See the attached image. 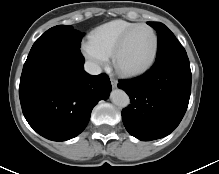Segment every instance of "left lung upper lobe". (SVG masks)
<instances>
[{"label": "left lung upper lobe", "mask_w": 219, "mask_h": 174, "mask_svg": "<svg viewBox=\"0 0 219 174\" xmlns=\"http://www.w3.org/2000/svg\"><path fill=\"white\" fill-rule=\"evenodd\" d=\"M147 23L157 31L158 47L156 59L169 54H186L185 49L167 26L160 22Z\"/></svg>", "instance_id": "5c2ea615"}]
</instances>
